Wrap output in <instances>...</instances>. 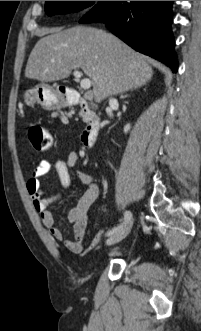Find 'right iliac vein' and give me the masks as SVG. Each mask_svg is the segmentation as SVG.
<instances>
[{
    "instance_id": "obj_1",
    "label": "right iliac vein",
    "mask_w": 201,
    "mask_h": 331,
    "mask_svg": "<svg viewBox=\"0 0 201 331\" xmlns=\"http://www.w3.org/2000/svg\"><path fill=\"white\" fill-rule=\"evenodd\" d=\"M133 221L129 220L124 226L112 234L106 241L107 245H113L123 240L130 232Z\"/></svg>"
}]
</instances>
